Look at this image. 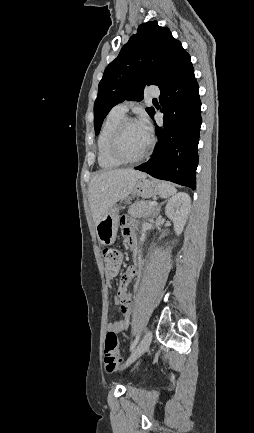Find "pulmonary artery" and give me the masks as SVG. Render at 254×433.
Listing matches in <instances>:
<instances>
[{
    "mask_svg": "<svg viewBox=\"0 0 254 433\" xmlns=\"http://www.w3.org/2000/svg\"><path fill=\"white\" fill-rule=\"evenodd\" d=\"M146 93L150 96H158L160 91L155 86H149ZM130 105H131L130 102L124 101L115 105L112 110L121 114H125L128 111Z\"/></svg>",
    "mask_w": 254,
    "mask_h": 433,
    "instance_id": "obj_1",
    "label": "pulmonary artery"
}]
</instances>
